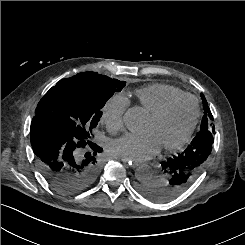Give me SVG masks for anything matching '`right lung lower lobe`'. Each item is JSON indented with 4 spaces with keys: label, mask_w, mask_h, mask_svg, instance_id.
<instances>
[{
    "label": "right lung lower lobe",
    "mask_w": 245,
    "mask_h": 245,
    "mask_svg": "<svg viewBox=\"0 0 245 245\" xmlns=\"http://www.w3.org/2000/svg\"><path fill=\"white\" fill-rule=\"evenodd\" d=\"M30 140L41 174L60 193L77 194L96 181L97 158L103 150L97 144L76 140L63 126L40 114L32 120Z\"/></svg>",
    "instance_id": "obj_1"
}]
</instances>
